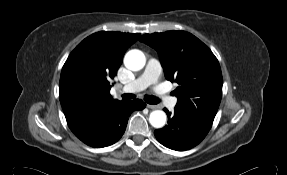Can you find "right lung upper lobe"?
Listing matches in <instances>:
<instances>
[{
    "instance_id": "right-lung-upper-lobe-1",
    "label": "right lung upper lobe",
    "mask_w": 287,
    "mask_h": 175,
    "mask_svg": "<svg viewBox=\"0 0 287 175\" xmlns=\"http://www.w3.org/2000/svg\"><path fill=\"white\" fill-rule=\"evenodd\" d=\"M140 34L101 31L85 38L69 55L61 72L60 103L72 132L93 123L121 102L110 95L127 48Z\"/></svg>"
}]
</instances>
